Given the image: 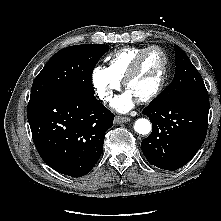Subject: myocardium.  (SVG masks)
<instances>
[{"label":"myocardium","mask_w":221,"mask_h":221,"mask_svg":"<svg viewBox=\"0 0 221 221\" xmlns=\"http://www.w3.org/2000/svg\"><path fill=\"white\" fill-rule=\"evenodd\" d=\"M153 50L160 52L163 57L162 71H161L160 78H159V81H158L156 87L147 95L137 99V101L140 103L149 102L152 99H154L156 96L159 95V93L162 91V89L165 85L167 75H168V64H169V59H168V56L165 53V51L161 47L155 46V45L146 47L142 52H140L134 58L132 64L130 65L127 73L125 74V76L123 78V86L125 89H127L129 82L138 73L145 56Z\"/></svg>","instance_id":"obj_1"}]
</instances>
